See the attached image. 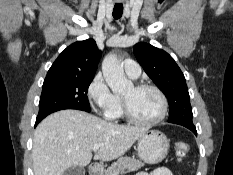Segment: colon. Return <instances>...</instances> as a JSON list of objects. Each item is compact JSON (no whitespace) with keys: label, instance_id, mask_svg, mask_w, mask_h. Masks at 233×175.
<instances>
[{"label":"colon","instance_id":"colon-1","mask_svg":"<svg viewBox=\"0 0 233 175\" xmlns=\"http://www.w3.org/2000/svg\"><path fill=\"white\" fill-rule=\"evenodd\" d=\"M174 150H175L176 155L179 158H183L184 156L188 154L190 150V146L186 142L178 141L174 144Z\"/></svg>","mask_w":233,"mask_h":175}]
</instances>
